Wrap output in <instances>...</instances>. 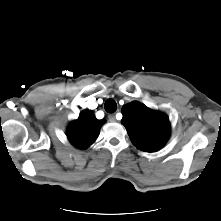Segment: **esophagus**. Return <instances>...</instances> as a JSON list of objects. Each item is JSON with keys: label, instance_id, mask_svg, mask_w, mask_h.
<instances>
[{"label": "esophagus", "instance_id": "1", "mask_svg": "<svg viewBox=\"0 0 221 221\" xmlns=\"http://www.w3.org/2000/svg\"><path fill=\"white\" fill-rule=\"evenodd\" d=\"M108 119H109L110 122H116V117H115L114 114L108 115Z\"/></svg>", "mask_w": 221, "mask_h": 221}]
</instances>
